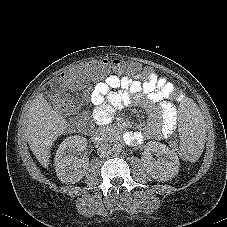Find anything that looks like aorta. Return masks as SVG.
I'll return each mask as SVG.
<instances>
[{
  "label": "aorta",
  "mask_w": 227,
  "mask_h": 227,
  "mask_svg": "<svg viewBox=\"0 0 227 227\" xmlns=\"http://www.w3.org/2000/svg\"><path fill=\"white\" fill-rule=\"evenodd\" d=\"M112 151L115 153V154H119L122 152V145L120 143H115L113 146H112Z\"/></svg>",
  "instance_id": "aorta-1"
}]
</instances>
